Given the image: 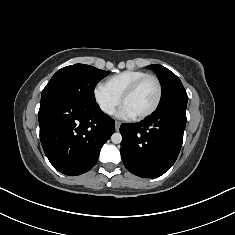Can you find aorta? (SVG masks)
Instances as JSON below:
<instances>
[{
    "mask_svg": "<svg viewBox=\"0 0 235 235\" xmlns=\"http://www.w3.org/2000/svg\"><path fill=\"white\" fill-rule=\"evenodd\" d=\"M111 141L114 143V144H119L121 143L122 141V135L120 133H114L112 136H111Z\"/></svg>",
    "mask_w": 235,
    "mask_h": 235,
    "instance_id": "1",
    "label": "aorta"
}]
</instances>
